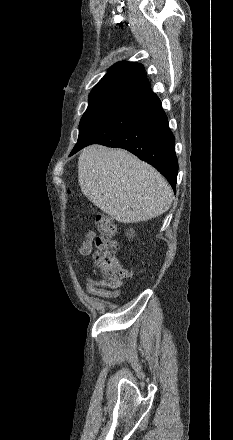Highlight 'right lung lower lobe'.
I'll return each mask as SVG.
<instances>
[{
	"label": "right lung lower lobe",
	"instance_id": "98d812e1",
	"mask_svg": "<svg viewBox=\"0 0 233 440\" xmlns=\"http://www.w3.org/2000/svg\"><path fill=\"white\" fill-rule=\"evenodd\" d=\"M174 141L161 101L150 91L125 104L103 125L77 142L70 156L94 143L123 148L153 165L175 189L178 162Z\"/></svg>",
	"mask_w": 233,
	"mask_h": 440
}]
</instances>
